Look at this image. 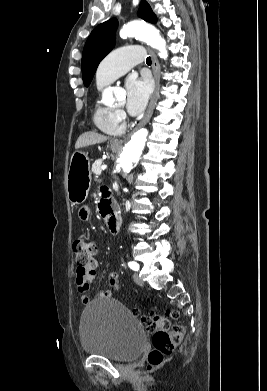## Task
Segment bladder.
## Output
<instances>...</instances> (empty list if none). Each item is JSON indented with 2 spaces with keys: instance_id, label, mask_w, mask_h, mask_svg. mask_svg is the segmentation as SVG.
<instances>
[{
  "instance_id": "bladder-1",
  "label": "bladder",
  "mask_w": 267,
  "mask_h": 391,
  "mask_svg": "<svg viewBox=\"0 0 267 391\" xmlns=\"http://www.w3.org/2000/svg\"><path fill=\"white\" fill-rule=\"evenodd\" d=\"M145 340L141 323L116 299L92 303L82 314L80 342L86 354L127 362L141 354Z\"/></svg>"
}]
</instances>
